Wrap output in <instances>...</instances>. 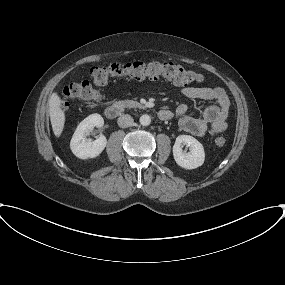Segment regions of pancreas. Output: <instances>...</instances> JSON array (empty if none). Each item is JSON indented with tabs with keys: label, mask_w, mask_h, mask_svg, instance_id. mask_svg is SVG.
<instances>
[{
	"label": "pancreas",
	"mask_w": 285,
	"mask_h": 285,
	"mask_svg": "<svg viewBox=\"0 0 285 285\" xmlns=\"http://www.w3.org/2000/svg\"><path fill=\"white\" fill-rule=\"evenodd\" d=\"M119 107L121 108H143L144 106L136 101L133 100H122L118 102Z\"/></svg>",
	"instance_id": "1"
}]
</instances>
